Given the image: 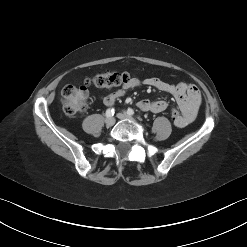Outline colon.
I'll return each instance as SVG.
<instances>
[{
  "instance_id": "obj_1",
  "label": "colon",
  "mask_w": 247,
  "mask_h": 247,
  "mask_svg": "<svg viewBox=\"0 0 247 247\" xmlns=\"http://www.w3.org/2000/svg\"><path fill=\"white\" fill-rule=\"evenodd\" d=\"M133 79L128 72L103 71L98 72L85 80L84 85L80 87L68 85L62 91L63 109L67 116L74 117L87 108L88 87L98 89H112L122 87ZM175 122L180 118V112L173 109L170 113Z\"/></svg>"
}]
</instances>
